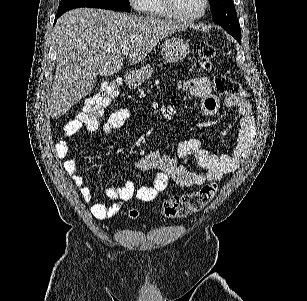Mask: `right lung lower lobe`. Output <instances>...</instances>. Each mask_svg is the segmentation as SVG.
I'll return each instance as SVG.
<instances>
[{
	"label": "right lung lower lobe",
	"mask_w": 307,
	"mask_h": 301,
	"mask_svg": "<svg viewBox=\"0 0 307 301\" xmlns=\"http://www.w3.org/2000/svg\"><path fill=\"white\" fill-rule=\"evenodd\" d=\"M61 16V15H60ZM60 16H57V19L60 17ZM56 23V20H55V22H54V24Z\"/></svg>",
	"instance_id": "obj_1"
}]
</instances>
